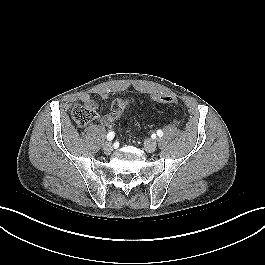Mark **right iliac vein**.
<instances>
[{"label": "right iliac vein", "instance_id": "63e3f726", "mask_svg": "<svg viewBox=\"0 0 265 265\" xmlns=\"http://www.w3.org/2000/svg\"><path fill=\"white\" fill-rule=\"evenodd\" d=\"M103 150H104L105 153H111L112 150H113V145H112V143H111V142H106V143H104V145H103Z\"/></svg>", "mask_w": 265, "mask_h": 265}]
</instances>
